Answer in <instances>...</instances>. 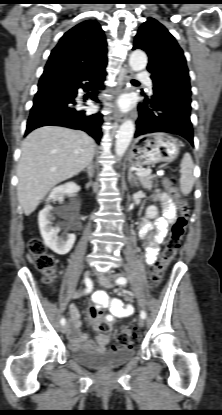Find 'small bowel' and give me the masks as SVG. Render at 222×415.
<instances>
[{"label": "small bowel", "instance_id": "c3829d8e", "mask_svg": "<svg viewBox=\"0 0 222 415\" xmlns=\"http://www.w3.org/2000/svg\"><path fill=\"white\" fill-rule=\"evenodd\" d=\"M153 200L161 204L162 214L155 219L154 224L145 222L140 229L141 238L147 241L145 250V262L147 264H152L157 259L159 244L166 236L169 223L174 221L176 217V205L167 193L155 191ZM92 300L99 308L109 309V313L105 317L109 323L129 317L134 312L131 304H124L118 298H110L104 291L94 292ZM69 313L70 324L72 326V331L69 335L71 345L86 350H105L109 342V337L106 334L99 333L94 342L90 341L87 335L81 332L80 314L76 305L72 304L70 306Z\"/></svg>", "mask_w": 222, "mask_h": 415}]
</instances>
